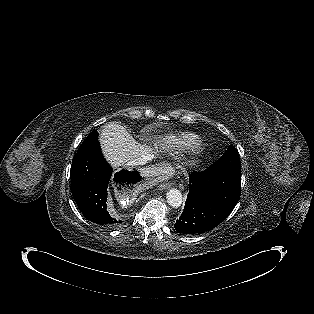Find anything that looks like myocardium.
Wrapping results in <instances>:
<instances>
[{"instance_id":"obj_1","label":"myocardium","mask_w":314,"mask_h":314,"mask_svg":"<svg viewBox=\"0 0 314 314\" xmlns=\"http://www.w3.org/2000/svg\"><path fill=\"white\" fill-rule=\"evenodd\" d=\"M189 150L191 152L192 155H196L200 152V150L202 149V143L200 141H193L190 145H189Z\"/></svg>"}]
</instances>
